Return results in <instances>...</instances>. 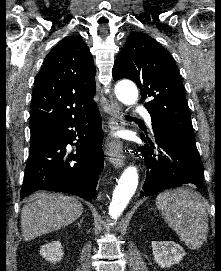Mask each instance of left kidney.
Segmentation results:
<instances>
[{
	"label": "left kidney",
	"mask_w": 221,
	"mask_h": 271,
	"mask_svg": "<svg viewBox=\"0 0 221 271\" xmlns=\"http://www.w3.org/2000/svg\"><path fill=\"white\" fill-rule=\"evenodd\" d=\"M151 247L154 259L160 267H171L186 255L184 247L175 241H151Z\"/></svg>",
	"instance_id": "obj_1"
}]
</instances>
